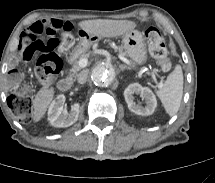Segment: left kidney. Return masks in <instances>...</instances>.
<instances>
[{"label":"left kidney","mask_w":215,"mask_h":183,"mask_svg":"<svg viewBox=\"0 0 215 183\" xmlns=\"http://www.w3.org/2000/svg\"><path fill=\"white\" fill-rule=\"evenodd\" d=\"M135 94L140 95L142 99L146 101L145 107H142L134 102ZM124 97L129 110L137 115H151L157 106V100L153 92L149 88L142 87L138 83L130 84L124 91Z\"/></svg>","instance_id":"left-kidney-1"}]
</instances>
